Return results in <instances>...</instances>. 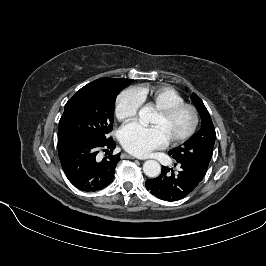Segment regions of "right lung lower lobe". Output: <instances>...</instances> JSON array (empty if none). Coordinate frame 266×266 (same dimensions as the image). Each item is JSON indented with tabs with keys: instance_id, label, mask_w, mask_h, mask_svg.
Segmentation results:
<instances>
[{
	"instance_id": "98d812e1",
	"label": "right lung lower lobe",
	"mask_w": 266,
	"mask_h": 266,
	"mask_svg": "<svg viewBox=\"0 0 266 266\" xmlns=\"http://www.w3.org/2000/svg\"><path fill=\"white\" fill-rule=\"evenodd\" d=\"M115 146L112 138L104 141L78 137L58 140V154L66 177L82 191L104 189L113 181L120 154L109 155L102 161L96 156L100 148L112 151Z\"/></svg>"
}]
</instances>
